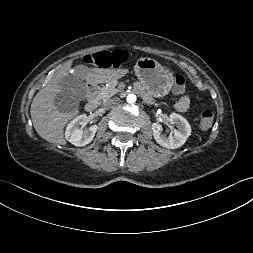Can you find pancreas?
<instances>
[{
  "instance_id": "cf45deb5",
  "label": "pancreas",
  "mask_w": 253,
  "mask_h": 253,
  "mask_svg": "<svg viewBox=\"0 0 253 253\" xmlns=\"http://www.w3.org/2000/svg\"><path fill=\"white\" fill-rule=\"evenodd\" d=\"M120 89H121L120 87L116 88L115 84H113L111 82L108 86L101 88V90L98 93V98L100 100L105 101L109 97H111V96L115 95L117 92H119Z\"/></svg>"
}]
</instances>
